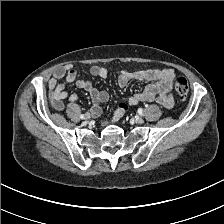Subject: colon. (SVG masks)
<instances>
[{
  "label": "colon",
  "mask_w": 224,
  "mask_h": 224,
  "mask_svg": "<svg viewBox=\"0 0 224 224\" xmlns=\"http://www.w3.org/2000/svg\"><path fill=\"white\" fill-rule=\"evenodd\" d=\"M173 86H174L175 92L181 98H185L188 95L189 84H188V81L185 77H182V76L176 77L173 81ZM120 108H121V110L125 111L127 107H126L125 104H121Z\"/></svg>",
  "instance_id": "5ec220e1"
}]
</instances>
